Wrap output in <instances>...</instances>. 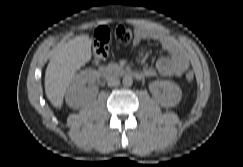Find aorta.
Returning <instances> with one entry per match:
<instances>
[{
	"label": "aorta",
	"instance_id": "obj_1",
	"mask_svg": "<svg viewBox=\"0 0 243 167\" xmlns=\"http://www.w3.org/2000/svg\"><path fill=\"white\" fill-rule=\"evenodd\" d=\"M122 83L124 86L129 87L133 84V79L130 75H126L123 77Z\"/></svg>",
	"mask_w": 243,
	"mask_h": 167
}]
</instances>
